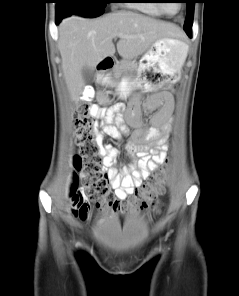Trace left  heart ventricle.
<instances>
[{
	"label": "left heart ventricle",
	"mask_w": 239,
	"mask_h": 296,
	"mask_svg": "<svg viewBox=\"0 0 239 296\" xmlns=\"http://www.w3.org/2000/svg\"><path fill=\"white\" fill-rule=\"evenodd\" d=\"M165 8L170 12L174 13L178 9V3H163Z\"/></svg>",
	"instance_id": "obj_1"
}]
</instances>
